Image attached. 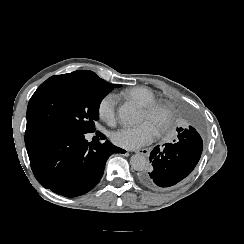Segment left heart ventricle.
Here are the masks:
<instances>
[{
    "instance_id": "b2bd125f",
    "label": "left heart ventricle",
    "mask_w": 244,
    "mask_h": 244,
    "mask_svg": "<svg viewBox=\"0 0 244 244\" xmlns=\"http://www.w3.org/2000/svg\"><path fill=\"white\" fill-rule=\"evenodd\" d=\"M166 112H164L162 109L152 111V112H146L143 109H141L140 112V122H148L150 123L157 131L162 130L165 125L168 123V118Z\"/></svg>"
}]
</instances>
